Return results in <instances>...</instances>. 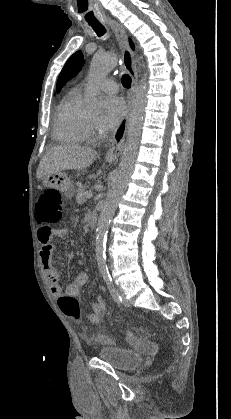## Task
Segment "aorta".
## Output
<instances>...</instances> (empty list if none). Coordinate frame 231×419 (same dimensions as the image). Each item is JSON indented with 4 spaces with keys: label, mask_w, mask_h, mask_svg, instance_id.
Wrapping results in <instances>:
<instances>
[{
    "label": "aorta",
    "mask_w": 231,
    "mask_h": 419,
    "mask_svg": "<svg viewBox=\"0 0 231 419\" xmlns=\"http://www.w3.org/2000/svg\"><path fill=\"white\" fill-rule=\"evenodd\" d=\"M116 65L117 57L114 54L95 55L89 69V79L91 83H95L106 77ZM147 87V77L145 75L140 81L132 98L124 152L118 169L114 174L113 186L107 195L103 210L98 219L95 241V259L98 266L102 268L105 267L106 240L109 225L116 211L118 202L127 188L138 152L146 105ZM86 103L87 107L91 110L99 109L102 104L92 90L87 93Z\"/></svg>",
    "instance_id": "aorta-1"
}]
</instances>
